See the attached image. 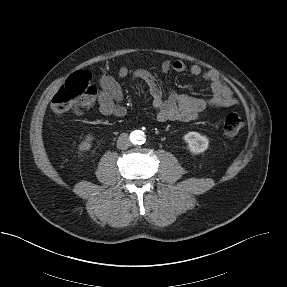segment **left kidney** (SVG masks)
<instances>
[{"label":"left kidney","mask_w":287,"mask_h":287,"mask_svg":"<svg viewBox=\"0 0 287 287\" xmlns=\"http://www.w3.org/2000/svg\"><path fill=\"white\" fill-rule=\"evenodd\" d=\"M189 150L194 154L205 152L208 149L209 140L198 132H188L183 136Z\"/></svg>","instance_id":"obj_1"}]
</instances>
